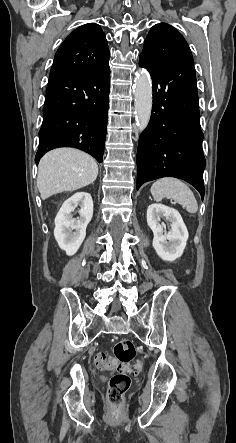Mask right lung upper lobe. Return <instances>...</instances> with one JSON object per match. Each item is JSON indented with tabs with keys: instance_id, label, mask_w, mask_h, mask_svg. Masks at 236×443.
<instances>
[{
	"instance_id": "right-lung-upper-lobe-1",
	"label": "right lung upper lobe",
	"mask_w": 236,
	"mask_h": 443,
	"mask_svg": "<svg viewBox=\"0 0 236 443\" xmlns=\"http://www.w3.org/2000/svg\"><path fill=\"white\" fill-rule=\"evenodd\" d=\"M109 49L98 24L75 29L58 48L50 74L94 73L109 67Z\"/></svg>"
}]
</instances>
